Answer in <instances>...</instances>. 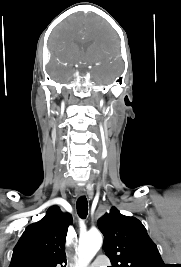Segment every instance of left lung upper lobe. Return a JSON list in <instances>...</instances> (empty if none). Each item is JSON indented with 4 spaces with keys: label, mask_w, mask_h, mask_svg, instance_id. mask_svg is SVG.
<instances>
[{
    "label": "left lung upper lobe",
    "mask_w": 181,
    "mask_h": 267,
    "mask_svg": "<svg viewBox=\"0 0 181 267\" xmlns=\"http://www.w3.org/2000/svg\"><path fill=\"white\" fill-rule=\"evenodd\" d=\"M98 227L112 267H165L157 246L138 219L112 208L98 220Z\"/></svg>",
    "instance_id": "obj_1"
}]
</instances>
